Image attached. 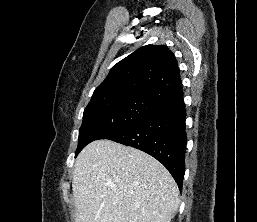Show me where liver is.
<instances>
[{
	"mask_svg": "<svg viewBox=\"0 0 257 222\" xmlns=\"http://www.w3.org/2000/svg\"><path fill=\"white\" fill-rule=\"evenodd\" d=\"M75 222H170L179 190L155 158L110 140L88 144L74 165Z\"/></svg>",
	"mask_w": 257,
	"mask_h": 222,
	"instance_id": "obj_1",
	"label": "liver"
}]
</instances>
